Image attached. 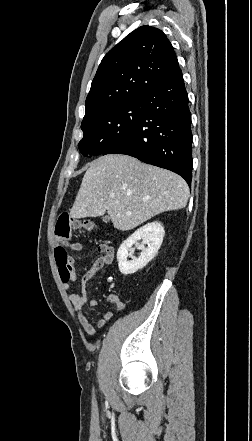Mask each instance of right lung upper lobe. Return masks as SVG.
Segmentation results:
<instances>
[{"label":"right lung upper lobe","mask_w":252,"mask_h":441,"mask_svg":"<svg viewBox=\"0 0 252 441\" xmlns=\"http://www.w3.org/2000/svg\"><path fill=\"white\" fill-rule=\"evenodd\" d=\"M178 68L173 47L161 30L137 28L102 59L85 102L83 120L140 99Z\"/></svg>","instance_id":"1"}]
</instances>
